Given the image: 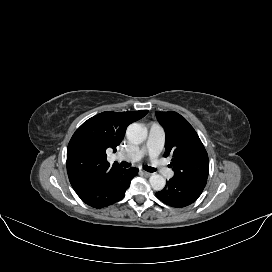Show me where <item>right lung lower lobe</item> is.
Segmentation results:
<instances>
[{
    "label": "right lung lower lobe",
    "instance_id": "1",
    "mask_svg": "<svg viewBox=\"0 0 272 272\" xmlns=\"http://www.w3.org/2000/svg\"><path fill=\"white\" fill-rule=\"evenodd\" d=\"M137 168H117L110 171L90 186L76 191L87 205L100 209L111 205L125 196L131 180L138 174Z\"/></svg>",
    "mask_w": 272,
    "mask_h": 272
}]
</instances>
